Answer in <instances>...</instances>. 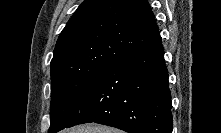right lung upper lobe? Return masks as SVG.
<instances>
[{
	"label": "right lung upper lobe",
	"instance_id": "obj_1",
	"mask_svg": "<svg viewBox=\"0 0 221 133\" xmlns=\"http://www.w3.org/2000/svg\"><path fill=\"white\" fill-rule=\"evenodd\" d=\"M160 43L147 0H85L59 35L51 74L65 68L111 66Z\"/></svg>",
	"mask_w": 221,
	"mask_h": 133
}]
</instances>
